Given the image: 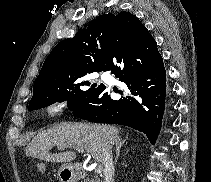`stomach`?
<instances>
[{
    "label": "stomach",
    "mask_w": 211,
    "mask_h": 182,
    "mask_svg": "<svg viewBox=\"0 0 211 182\" xmlns=\"http://www.w3.org/2000/svg\"><path fill=\"white\" fill-rule=\"evenodd\" d=\"M58 178L60 182H76L78 172L71 164H63L58 171Z\"/></svg>",
    "instance_id": "0dacf381"
}]
</instances>
